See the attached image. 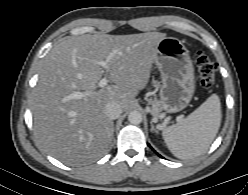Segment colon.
Masks as SVG:
<instances>
[{
	"instance_id": "1",
	"label": "colon",
	"mask_w": 248,
	"mask_h": 195,
	"mask_svg": "<svg viewBox=\"0 0 248 195\" xmlns=\"http://www.w3.org/2000/svg\"><path fill=\"white\" fill-rule=\"evenodd\" d=\"M195 63L200 77V83L204 88H212L216 79V64L203 52L195 54Z\"/></svg>"
}]
</instances>
